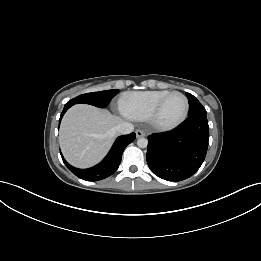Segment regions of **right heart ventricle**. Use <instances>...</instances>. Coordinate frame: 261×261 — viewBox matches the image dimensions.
Wrapping results in <instances>:
<instances>
[{
	"instance_id": "right-heart-ventricle-1",
	"label": "right heart ventricle",
	"mask_w": 261,
	"mask_h": 261,
	"mask_svg": "<svg viewBox=\"0 0 261 261\" xmlns=\"http://www.w3.org/2000/svg\"><path fill=\"white\" fill-rule=\"evenodd\" d=\"M169 90L129 92L119 101L121 113L129 119L147 120L157 101Z\"/></svg>"
}]
</instances>
